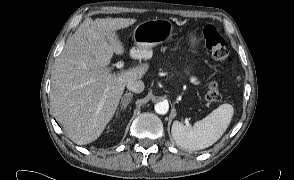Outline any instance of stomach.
Masks as SVG:
<instances>
[{"instance_id": "1", "label": "stomach", "mask_w": 294, "mask_h": 180, "mask_svg": "<svg viewBox=\"0 0 294 180\" xmlns=\"http://www.w3.org/2000/svg\"><path fill=\"white\" fill-rule=\"evenodd\" d=\"M174 25L169 19H153L139 23L133 33L135 48L138 57H144L151 48L166 42L172 36ZM191 43L196 42L194 31L188 33Z\"/></svg>"}]
</instances>
